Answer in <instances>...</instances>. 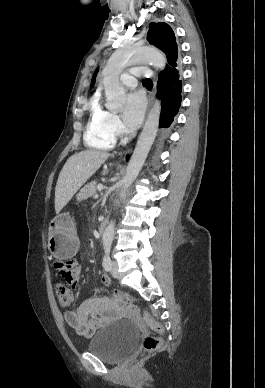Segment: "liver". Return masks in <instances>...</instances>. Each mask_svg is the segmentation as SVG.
Here are the masks:
<instances>
[{
  "label": "liver",
  "instance_id": "liver-1",
  "mask_svg": "<svg viewBox=\"0 0 265 388\" xmlns=\"http://www.w3.org/2000/svg\"><path fill=\"white\" fill-rule=\"evenodd\" d=\"M109 156L108 152H101V150H84L67 160L59 174L55 188L56 214L61 212L79 188L99 170Z\"/></svg>",
  "mask_w": 265,
  "mask_h": 388
}]
</instances>
